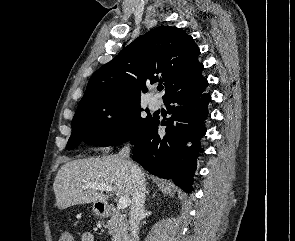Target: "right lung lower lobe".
<instances>
[{
	"mask_svg": "<svg viewBox=\"0 0 295 241\" xmlns=\"http://www.w3.org/2000/svg\"><path fill=\"white\" fill-rule=\"evenodd\" d=\"M207 80L164 99L168 120L159 116L139 134L130 139L134 144L133 159L150 173L172 179L185 192L192 191L193 174L200 148L199 140L206 133L207 105L211 96L206 93ZM166 126L164 134H158V127ZM192 146H186L187 142Z\"/></svg>",
	"mask_w": 295,
	"mask_h": 241,
	"instance_id": "right-lung-lower-lobe-1",
	"label": "right lung lower lobe"
}]
</instances>
